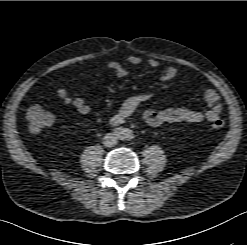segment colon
Here are the masks:
<instances>
[{
    "label": "colon",
    "mask_w": 247,
    "mask_h": 245,
    "mask_svg": "<svg viewBox=\"0 0 247 245\" xmlns=\"http://www.w3.org/2000/svg\"><path fill=\"white\" fill-rule=\"evenodd\" d=\"M27 120L29 131L33 134L41 133L52 123V116L49 112L40 106H32L27 111ZM224 121L220 118L211 124L212 131H220L224 128Z\"/></svg>",
    "instance_id": "5ec220e1"
}]
</instances>
